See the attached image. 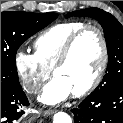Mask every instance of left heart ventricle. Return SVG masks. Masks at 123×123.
Wrapping results in <instances>:
<instances>
[{"instance_id":"obj_1","label":"left heart ventricle","mask_w":123,"mask_h":123,"mask_svg":"<svg viewBox=\"0 0 123 123\" xmlns=\"http://www.w3.org/2000/svg\"><path fill=\"white\" fill-rule=\"evenodd\" d=\"M101 60V43L95 31L85 33L76 42L68 62L57 70L71 92L83 89L94 77Z\"/></svg>"}]
</instances>
